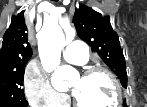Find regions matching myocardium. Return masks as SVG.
<instances>
[{"label":"myocardium","mask_w":147,"mask_h":107,"mask_svg":"<svg viewBox=\"0 0 147 107\" xmlns=\"http://www.w3.org/2000/svg\"><path fill=\"white\" fill-rule=\"evenodd\" d=\"M97 74L106 75L111 80L115 88V101L110 107L119 106L122 103V86L116 75L104 67H91L83 73V77L89 78ZM73 104L75 107H89L82 104L75 96L73 98Z\"/></svg>","instance_id":"1"}]
</instances>
